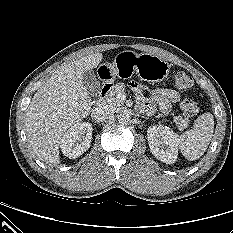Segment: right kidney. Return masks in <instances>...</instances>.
<instances>
[{"label": "right kidney", "instance_id": "obj_1", "mask_svg": "<svg viewBox=\"0 0 233 233\" xmlns=\"http://www.w3.org/2000/svg\"><path fill=\"white\" fill-rule=\"evenodd\" d=\"M92 131V124L88 122L76 123L70 127L61 139L63 154L69 159L81 156L90 147Z\"/></svg>", "mask_w": 233, "mask_h": 233}]
</instances>
